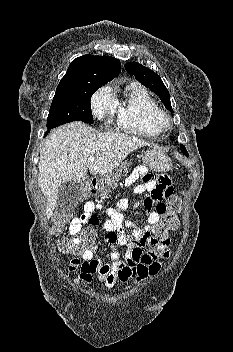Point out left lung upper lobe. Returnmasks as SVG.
<instances>
[{
  "instance_id": "left-lung-upper-lobe-1",
  "label": "left lung upper lobe",
  "mask_w": 233,
  "mask_h": 352,
  "mask_svg": "<svg viewBox=\"0 0 233 352\" xmlns=\"http://www.w3.org/2000/svg\"><path fill=\"white\" fill-rule=\"evenodd\" d=\"M125 69L129 74L135 76V78L145 87L149 88L151 91L157 94L161 101L164 103V106L173 112L170 103L169 91L163 84L158 74L137 62L126 63ZM180 149L183 153H188L185 146L182 144L180 145Z\"/></svg>"
}]
</instances>
